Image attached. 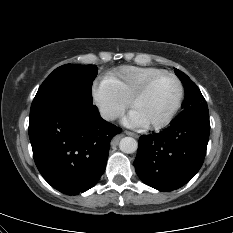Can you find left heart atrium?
Listing matches in <instances>:
<instances>
[{
    "label": "left heart atrium",
    "mask_w": 233,
    "mask_h": 233,
    "mask_svg": "<svg viewBox=\"0 0 233 233\" xmlns=\"http://www.w3.org/2000/svg\"><path fill=\"white\" fill-rule=\"evenodd\" d=\"M124 124L130 127H146L147 123L135 112L131 111L124 119Z\"/></svg>",
    "instance_id": "39dd6f15"
}]
</instances>
